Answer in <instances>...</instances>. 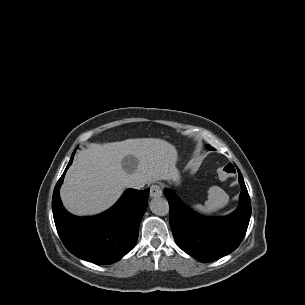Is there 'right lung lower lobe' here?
<instances>
[{
  "mask_svg": "<svg viewBox=\"0 0 305 305\" xmlns=\"http://www.w3.org/2000/svg\"><path fill=\"white\" fill-rule=\"evenodd\" d=\"M72 161L73 155L53 193L52 210L58 234L75 256L100 265L114 263L126 255L137 241L149 189H128L115 205L99 215L74 216L65 210L59 195V188Z\"/></svg>",
  "mask_w": 305,
  "mask_h": 305,
  "instance_id": "1",
  "label": "right lung lower lobe"
}]
</instances>
